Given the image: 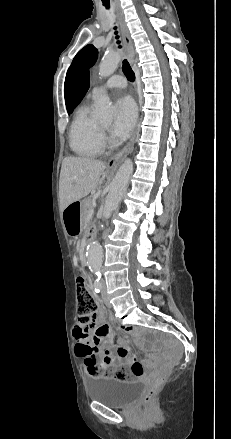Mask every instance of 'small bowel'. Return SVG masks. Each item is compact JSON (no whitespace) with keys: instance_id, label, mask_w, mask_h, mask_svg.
Listing matches in <instances>:
<instances>
[{"instance_id":"obj_1","label":"small bowel","mask_w":231,"mask_h":439,"mask_svg":"<svg viewBox=\"0 0 231 439\" xmlns=\"http://www.w3.org/2000/svg\"><path fill=\"white\" fill-rule=\"evenodd\" d=\"M105 312L98 310L89 325L77 324L73 330L76 340L75 353L87 360H101L105 365H129L138 363L136 356L131 354L128 345L119 344L113 349L114 336L110 327L104 323ZM142 372V367H141Z\"/></svg>"}]
</instances>
